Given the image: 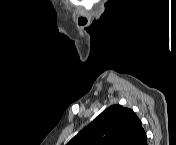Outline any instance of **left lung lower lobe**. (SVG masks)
Returning a JSON list of instances; mask_svg holds the SVG:
<instances>
[{
    "mask_svg": "<svg viewBox=\"0 0 176 145\" xmlns=\"http://www.w3.org/2000/svg\"><path fill=\"white\" fill-rule=\"evenodd\" d=\"M142 145H147V137H146L145 140L143 141Z\"/></svg>",
    "mask_w": 176,
    "mask_h": 145,
    "instance_id": "0a47b994",
    "label": "left lung lower lobe"
}]
</instances>
